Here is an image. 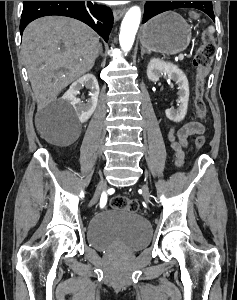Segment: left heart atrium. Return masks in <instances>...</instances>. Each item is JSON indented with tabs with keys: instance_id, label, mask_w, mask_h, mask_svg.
Wrapping results in <instances>:
<instances>
[{
	"instance_id": "left-heart-atrium-1",
	"label": "left heart atrium",
	"mask_w": 237,
	"mask_h": 300,
	"mask_svg": "<svg viewBox=\"0 0 237 300\" xmlns=\"http://www.w3.org/2000/svg\"><path fill=\"white\" fill-rule=\"evenodd\" d=\"M109 5H118V4H123L126 3L127 1H103Z\"/></svg>"
}]
</instances>
